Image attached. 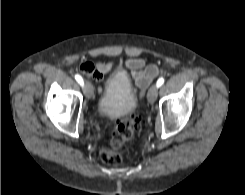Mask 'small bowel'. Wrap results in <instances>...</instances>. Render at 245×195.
I'll use <instances>...</instances> for the list:
<instances>
[{
  "instance_id": "1",
  "label": "small bowel",
  "mask_w": 245,
  "mask_h": 195,
  "mask_svg": "<svg viewBox=\"0 0 245 195\" xmlns=\"http://www.w3.org/2000/svg\"><path fill=\"white\" fill-rule=\"evenodd\" d=\"M126 67L131 71V77L135 86L144 91L151 81L158 75L156 65H146L141 58H130L126 61ZM113 62H84L80 65L81 72L88 78L96 81H103L106 74L113 68ZM101 91V89H99Z\"/></svg>"
}]
</instances>
